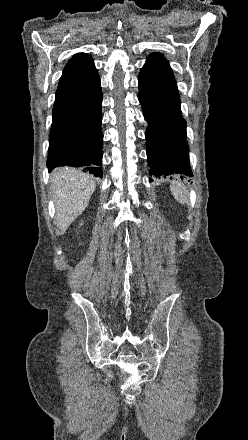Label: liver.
<instances>
[{
  "label": "liver",
  "instance_id": "6515ba94",
  "mask_svg": "<svg viewBox=\"0 0 248 440\" xmlns=\"http://www.w3.org/2000/svg\"><path fill=\"white\" fill-rule=\"evenodd\" d=\"M51 182L56 199V224L63 234L88 206L96 183L91 175L69 167L57 169Z\"/></svg>",
  "mask_w": 248,
  "mask_h": 440
}]
</instances>
